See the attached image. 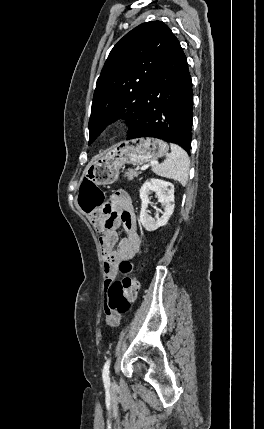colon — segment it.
I'll return each instance as SVG.
<instances>
[{
	"label": "colon",
	"instance_id": "1",
	"mask_svg": "<svg viewBox=\"0 0 264 429\" xmlns=\"http://www.w3.org/2000/svg\"><path fill=\"white\" fill-rule=\"evenodd\" d=\"M79 204L81 208L90 213L98 209L111 210L112 207L105 203L104 192L93 182L86 180L79 191ZM122 278L106 284L105 309L107 312L124 314L135 301L139 284L133 275V264L123 261L119 265Z\"/></svg>",
	"mask_w": 264,
	"mask_h": 429
}]
</instances>
